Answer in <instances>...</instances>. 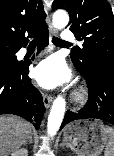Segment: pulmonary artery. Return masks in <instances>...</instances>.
Instances as JSON below:
<instances>
[{
  "instance_id": "obj_1",
  "label": "pulmonary artery",
  "mask_w": 114,
  "mask_h": 156,
  "mask_svg": "<svg viewBox=\"0 0 114 156\" xmlns=\"http://www.w3.org/2000/svg\"><path fill=\"white\" fill-rule=\"evenodd\" d=\"M62 40L65 42L73 41L74 40V35L72 34L71 31L69 30H64L62 33ZM25 54V51L23 52Z\"/></svg>"
}]
</instances>
